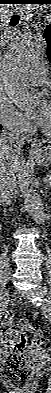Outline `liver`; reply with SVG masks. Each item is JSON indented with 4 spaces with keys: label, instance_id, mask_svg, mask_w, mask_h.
Here are the masks:
<instances>
[{
    "label": "liver",
    "instance_id": "liver-1",
    "mask_svg": "<svg viewBox=\"0 0 51 393\" xmlns=\"http://www.w3.org/2000/svg\"><path fill=\"white\" fill-rule=\"evenodd\" d=\"M2 168L6 172H14V174L23 172L24 159L20 154L4 150L0 143V172Z\"/></svg>",
    "mask_w": 51,
    "mask_h": 393
}]
</instances>
